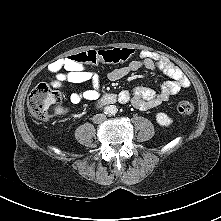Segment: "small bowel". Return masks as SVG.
I'll return each instance as SVG.
<instances>
[{
  "label": "small bowel",
  "instance_id": "1",
  "mask_svg": "<svg viewBox=\"0 0 221 221\" xmlns=\"http://www.w3.org/2000/svg\"><path fill=\"white\" fill-rule=\"evenodd\" d=\"M160 71L170 78L164 82L158 92L148 87H136L131 92L122 91L119 95L122 102H130L135 108L148 110L154 108L180 90L188 88L190 81L183 71L168 58L150 51H141L138 59L128 64L106 72L110 81H117L139 69ZM50 71L54 74L50 84L54 88H63L67 83L77 84L89 82L91 88L73 92L69 99L72 104L84 101H96L99 99L100 77L97 73L86 70L82 65L75 64L68 58L55 60L50 65Z\"/></svg>",
  "mask_w": 221,
  "mask_h": 221
}]
</instances>
